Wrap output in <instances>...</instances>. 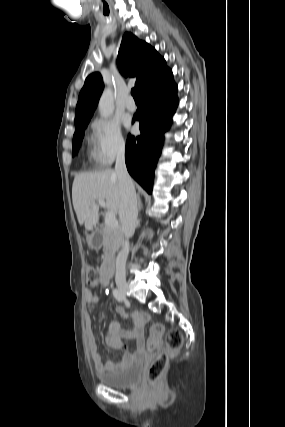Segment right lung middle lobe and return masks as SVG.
I'll list each match as a JSON object with an SVG mask.
<instances>
[{
  "mask_svg": "<svg viewBox=\"0 0 285 427\" xmlns=\"http://www.w3.org/2000/svg\"><path fill=\"white\" fill-rule=\"evenodd\" d=\"M86 126H87V124L83 125L79 128H76V131H75L74 137H73V144H72V155L73 156L77 153V151L80 147Z\"/></svg>",
  "mask_w": 285,
  "mask_h": 427,
  "instance_id": "right-lung-middle-lobe-1",
  "label": "right lung middle lobe"
}]
</instances>
